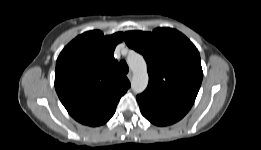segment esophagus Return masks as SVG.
Listing matches in <instances>:
<instances>
[{"label": "esophagus", "instance_id": "34e87169", "mask_svg": "<svg viewBox=\"0 0 261 150\" xmlns=\"http://www.w3.org/2000/svg\"><path fill=\"white\" fill-rule=\"evenodd\" d=\"M132 77H133V73H132V72H129V73L127 74V78H128L129 80H131Z\"/></svg>", "mask_w": 261, "mask_h": 150}]
</instances>
